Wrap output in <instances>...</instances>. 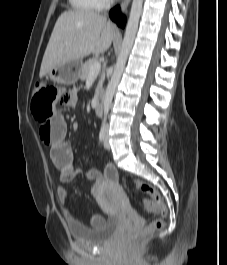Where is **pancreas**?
<instances>
[{
	"label": "pancreas",
	"mask_w": 227,
	"mask_h": 265,
	"mask_svg": "<svg viewBox=\"0 0 227 265\" xmlns=\"http://www.w3.org/2000/svg\"><path fill=\"white\" fill-rule=\"evenodd\" d=\"M97 62H99V60L96 57H93V58L87 60L82 65L81 73H80V79L81 80L87 79V77L89 76L90 67ZM103 82H104V74L102 73L100 80L98 82V85H97L96 93H98L102 89Z\"/></svg>",
	"instance_id": "pancreas-1"
}]
</instances>
